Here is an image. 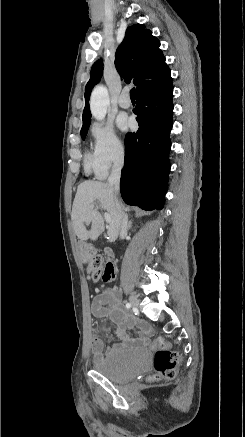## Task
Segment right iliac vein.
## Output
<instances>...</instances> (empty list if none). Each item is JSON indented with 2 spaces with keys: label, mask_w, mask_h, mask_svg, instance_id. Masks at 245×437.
I'll list each match as a JSON object with an SVG mask.
<instances>
[{
  "label": "right iliac vein",
  "mask_w": 245,
  "mask_h": 437,
  "mask_svg": "<svg viewBox=\"0 0 245 437\" xmlns=\"http://www.w3.org/2000/svg\"><path fill=\"white\" fill-rule=\"evenodd\" d=\"M129 301H130V304L132 306H134V307H138L139 306V300H138V298L136 296L130 295L129 296Z\"/></svg>",
  "instance_id": "63e3f726"
}]
</instances>
